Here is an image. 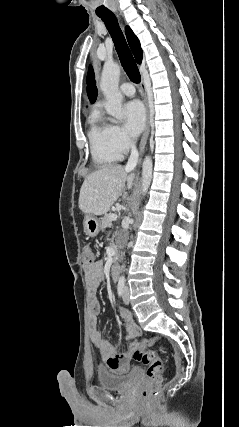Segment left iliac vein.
Listing matches in <instances>:
<instances>
[{
	"label": "left iliac vein",
	"instance_id": "4c4485c4",
	"mask_svg": "<svg viewBox=\"0 0 239 427\" xmlns=\"http://www.w3.org/2000/svg\"><path fill=\"white\" fill-rule=\"evenodd\" d=\"M123 301L125 304H129V288L125 286L124 292H123Z\"/></svg>",
	"mask_w": 239,
	"mask_h": 427
}]
</instances>
